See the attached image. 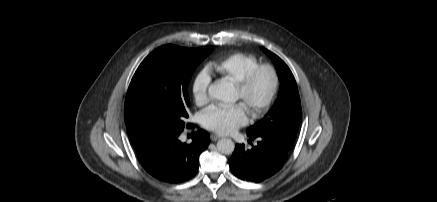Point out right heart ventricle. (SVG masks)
Returning <instances> with one entry per match:
<instances>
[{"label": "right heart ventricle", "instance_id": "1", "mask_svg": "<svg viewBox=\"0 0 437 202\" xmlns=\"http://www.w3.org/2000/svg\"><path fill=\"white\" fill-rule=\"evenodd\" d=\"M256 65H258V60L255 56L235 52L209 62L207 68L237 83Z\"/></svg>", "mask_w": 437, "mask_h": 202}]
</instances>
